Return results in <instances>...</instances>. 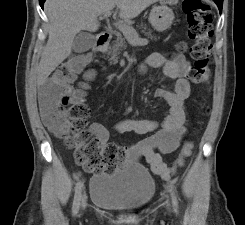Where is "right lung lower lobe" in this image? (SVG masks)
I'll return each instance as SVG.
<instances>
[{"mask_svg":"<svg viewBox=\"0 0 245 225\" xmlns=\"http://www.w3.org/2000/svg\"><path fill=\"white\" fill-rule=\"evenodd\" d=\"M46 0H39V3H40V6H41V8L43 9V5H44V2H45Z\"/></svg>","mask_w":245,"mask_h":225,"instance_id":"right-lung-lower-lobe-1","label":"right lung lower lobe"}]
</instances>
